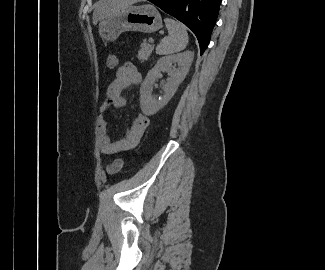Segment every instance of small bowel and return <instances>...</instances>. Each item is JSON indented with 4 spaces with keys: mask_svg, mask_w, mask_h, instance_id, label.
Wrapping results in <instances>:
<instances>
[{
    "mask_svg": "<svg viewBox=\"0 0 325 270\" xmlns=\"http://www.w3.org/2000/svg\"><path fill=\"white\" fill-rule=\"evenodd\" d=\"M141 82V75L132 63L119 66L116 70V77L109 85L106 92V99L100 106V115L97 121L99 131V148L103 154L113 155L134 148L143 132L149 125V119L139 114L135 120L126 128L124 136L116 142H112L108 135L107 120L104 112L110 107H124L127 103L122 95L125 89L136 86Z\"/></svg>",
    "mask_w": 325,
    "mask_h": 270,
    "instance_id": "1",
    "label": "small bowel"
}]
</instances>
